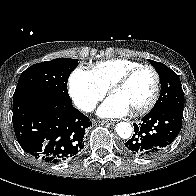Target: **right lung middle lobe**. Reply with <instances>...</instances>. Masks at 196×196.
<instances>
[{
    "instance_id": "1",
    "label": "right lung middle lobe",
    "mask_w": 196,
    "mask_h": 196,
    "mask_svg": "<svg viewBox=\"0 0 196 196\" xmlns=\"http://www.w3.org/2000/svg\"><path fill=\"white\" fill-rule=\"evenodd\" d=\"M77 65L78 60L71 58H57L32 65L22 72L13 101L36 93H53L72 102L67 91V81Z\"/></svg>"
}]
</instances>
